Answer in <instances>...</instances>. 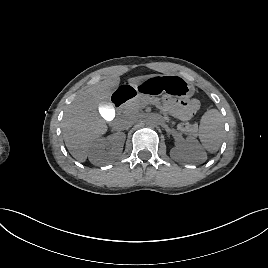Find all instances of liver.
<instances>
[{
	"mask_svg": "<svg viewBox=\"0 0 268 268\" xmlns=\"http://www.w3.org/2000/svg\"><path fill=\"white\" fill-rule=\"evenodd\" d=\"M145 77L130 78L128 82L132 85ZM119 84L118 75L106 78L79 92L67 110L62 123L63 138L76 160L85 162L91 143L106 133V121L99 114L98 107L108 106L107 101Z\"/></svg>",
	"mask_w": 268,
	"mask_h": 268,
	"instance_id": "1",
	"label": "liver"
}]
</instances>
